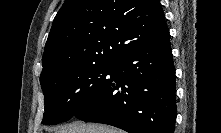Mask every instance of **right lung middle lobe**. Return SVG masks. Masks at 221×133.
I'll return each mask as SVG.
<instances>
[{"mask_svg": "<svg viewBox=\"0 0 221 133\" xmlns=\"http://www.w3.org/2000/svg\"><path fill=\"white\" fill-rule=\"evenodd\" d=\"M112 63L71 64L53 68L40 77L45 96L43 124L72 118L107 79Z\"/></svg>", "mask_w": 221, "mask_h": 133, "instance_id": "obj_1", "label": "right lung middle lobe"}]
</instances>
